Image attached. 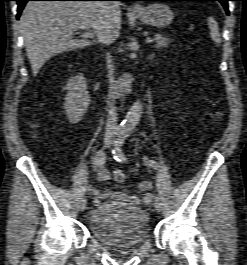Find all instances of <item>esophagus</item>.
<instances>
[{
  "label": "esophagus",
  "instance_id": "obj_1",
  "mask_svg": "<svg viewBox=\"0 0 247 265\" xmlns=\"http://www.w3.org/2000/svg\"><path fill=\"white\" fill-rule=\"evenodd\" d=\"M138 9H139L138 5H134V6L131 8V10H133V11H136V10H138Z\"/></svg>",
  "mask_w": 247,
  "mask_h": 265
}]
</instances>
